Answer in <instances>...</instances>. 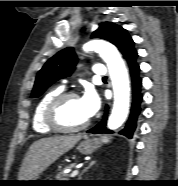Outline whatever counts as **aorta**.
I'll return each instance as SVG.
<instances>
[{
  "label": "aorta",
  "instance_id": "762f6f07",
  "mask_svg": "<svg viewBox=\"0 0 178 186\" xmlns=\"http://www.w3.org/2000/svg\"><path fill=\"white\" fill-rule=\"evenodd\" d=\"M85 52L96 50L106 62L114 91V105L108 119L110 130L118 129L125 121L130 106V82L118 50L104 40H92L83 46Z\"/></svg>",
  "mask_w": 178,
  "mask_h": 186
}]
</instances>
